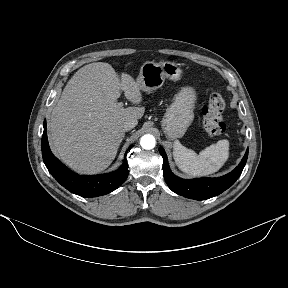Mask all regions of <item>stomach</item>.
I'll return each mask as SVG.
<instances>
[{"label":"stomach","instance_id":"obj_1","mask_svg":"<svg viewBox=\"0 0 288 288\" xmlns=\"http://www.w3.org/2000/svg\"><path fill=\"white\" fill-rule=\"evenodd\" d=\"M182 70L178 64L166 61L163 63L145 62L136 79L140 90L151 93L165 82V79L178 80ZM196 92L190 86L182 87L175 95L173 103L167 108L162 119V129L168 139L174 140L184 136L194 119Z\"/></svg>","mask_w":288,"mask_h":288}]
</instances>
